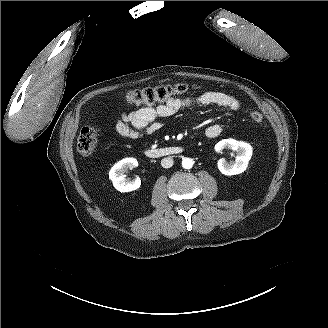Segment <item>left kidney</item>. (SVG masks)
<instances>
[{"instance_id": "obj_1", "label": "left kidney", "mask_w": 328, "mask_h": 328, "mask_svg": "<svg viewBox=\"0 0 328 328\" xmlns=\"http://www.w3.org/2000/svg\"><path fill=\"white\" fill-rule=\"evenodd\" d=\"M214 149L217 153H221L223 149H230L237 153L235 161L231 163L227 162L224 158L218 160L217 166L219 171L228 176L244 172L252 156V146L250 144L232 138L219 141Z\"/></svg>"}]
</instances>
